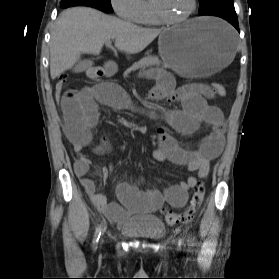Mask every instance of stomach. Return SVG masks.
<instances>
[{"instance_id": "obj_1", "label": "stomach", "mask_w": 279, "mask_h": 279, "mask_svg": "<svg viewBox=\"0 0 279 279\" xmlns=\"http://www.w3.org/2000/svg\"><path fill=\"white\" fill-rule=\"evenodd\" d=\"M158 44L162 59L187 78L208 77L228 69V64L235 59L234 31L225 22L211 18H194L166 29ZM112 68L109 67V73Z\"/></svg>"}]
</instances>
